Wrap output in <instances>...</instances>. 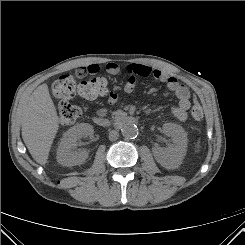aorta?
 Wrapping results in <instances>:
<instances>
[{
    "mask_svg": "<svg viewBox=\"0 0 245 245\" xmlns=\"http://www.w3.org/2000/svg\"><path fill=\"white\" fill-rule=\"evenodd\" d=\"M122 135L127 139H133L138 135V128L133 124H125L121 128Z\"/></svg>",
    "mask_w": 245,
    "mask_h": 245,
    "instance_id": "aorta-1",
    "label": "aorta"
}]
</instances>
